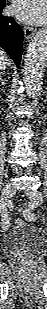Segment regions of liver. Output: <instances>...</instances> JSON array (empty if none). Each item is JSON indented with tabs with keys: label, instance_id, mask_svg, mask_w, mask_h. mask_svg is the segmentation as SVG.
<instances>
[{
	"label": "liver",
	"instance_id": "liver-1",
	"mask_svg": "<svg viewBox=\"0 0 47 309\" xmlns=\"http://www.w3.org/2000/svg\"><path fill=\"white\" fill-rule=\"evenodd\" d=\"M5 65H10L9 59L3 51H0V67H1V69Z\"/></svg>",
	"mask_w": 47,
	"mask_h": 309
}]
</instances>
